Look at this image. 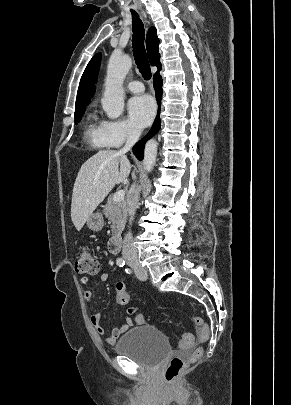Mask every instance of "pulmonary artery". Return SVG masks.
Listing matches in <instances>:
<instances>
[{"mask_svg": "<svg viewBox=\"0 0 291 405\" xmlns=\"http://www.w3.org/2000/svg\"><path fill=\"white\" fill-rule=\"evenodd\" d=\"M127 88L133 93H142L144 85L140 81H131L127 84Z\"/></svg>", "mask_w": 291, "mask_h": 405, "instance_id": "obj_1", "label": "pulmonary artery"}]
</instances>
